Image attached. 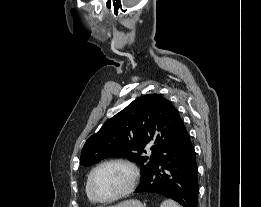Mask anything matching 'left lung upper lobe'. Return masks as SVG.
<instances>
[{
    "label": "left lung upper lobe",
    "mask_w": 261,
    "mask_h": 207,
    "mask_svg": "<svg viewBox=\"0 0 261 207\" xmlns=\"http://www.w3.org/2000/svg\"><path fill=\"white\" fill-rule=\"evenodd\" d=\"M184 123L176 108L160 94H147L109 119L85 143L80 164L89 166L108 157H122L141 165V180L170 152ZM151 145L150 157L143 156Z\"/></svg>",
    "instance_id": "obj_1"
}]
</instances>
